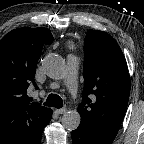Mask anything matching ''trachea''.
Here are the masks:
<instances>
[{
	"label": "trachea",
	"mask_w": 144,
	"mask_h": 144,
	"mask_svg": "<svg viewBox=\"0 0 144 144\" xmlns=\"http://www.w3.org/2000/svg\"><path fill=\"white\" fill-rule=\"evenodd\" d=\"M49 107L61 108L63 106V101L57 94H50L46 99V104Z\"/></svg>",
	"instance_id": "3493384b"
}]
</instances>
